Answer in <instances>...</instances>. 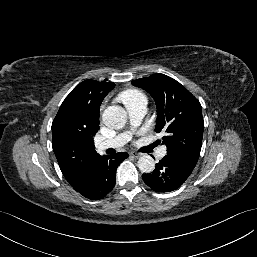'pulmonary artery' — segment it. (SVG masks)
<instances>
[{
	"label": "pulmonary artery",
	"instance_id": "pulmonary-artery-1",
	"mask_svg": "<svg viewBox=\"0 0 257 257\" xmlns=\"http://www.w3.org/2000/svg\"><path fill=\"white\" fill-rule=\"evenodd\" d=\"M126 108H127V112L129 114V118L132 126H136L139 124L141 119L146 114V110H147L146 102L134 103L127 106ZM130 138H131L130 132L121 133L111 139H108L99 143L98 150H105L108 148H119L124 144H126L130 140ZM165 155H166V147L163 146L160 148L158 152V156L163 157Z\"/></svg>",
	"mask_w": 257,
	"mask_h": 257
}]
</instances>
